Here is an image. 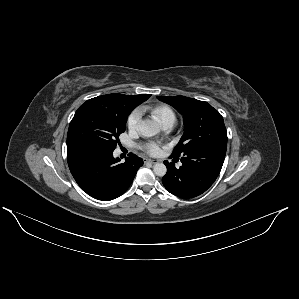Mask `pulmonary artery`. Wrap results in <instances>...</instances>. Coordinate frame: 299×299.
I'll list each match as a JSON object with an SVG mask.
<instances>
[{
    "mask_svg": "<svg viewBox=\"0 0 299 299\" xmlns=\"http://www.w3.org/2000/svg\"><path fill=\"white\" fill-rule=\"evenodd\" d=\"M172 124H166V125H163V129L165 130V131H169L171 128H172Z\"/></svg>",
    "mask_w": 299,
    "mask_h": 299,
    "instance_id": "e3ab8cb5",
    "label": "pulmonary artery"
}]
</instances>
